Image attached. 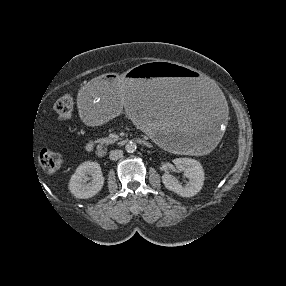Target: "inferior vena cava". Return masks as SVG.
I'll return each mask as SVG.
<instances>
[{
	"label": "inferior vena cava",
	"mask_w": 286,
	"mask_h": 286,
	"mask_svg": "<svg viewBox=\"0 0 286 286\" xmlns=\"http://www.w3.org/2000/svg\"><path fill=\"white\" fill-rule=\"evenodd\" d=\"M123 156V151L122 150H113L110 152L109 158L110 160H118Z\"/></svg>",
	"instance_id": "obj_1"
}]
</instances>
